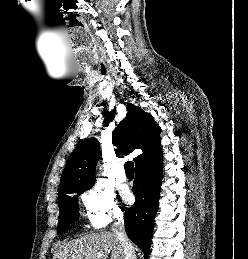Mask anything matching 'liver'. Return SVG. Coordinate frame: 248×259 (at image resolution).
Instances as JSON below:
<instances>
[{
    "instance_id": "6515ba94",
    "label": "liver",
    "mask_w": 248,
    "mask_h": 259,
    "mask_svg": "<svg viewBox=\"0 0 248 259\" xmlns=\"http://www.w3.org/2000/svg\"><path fill=\"white\" fill-rule=\"evenodd\" d=\"M124 259V250L111 232L89 233L59 247L53 259Z\"/></svg>"
}]
</instances>
